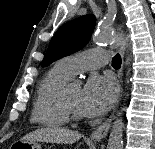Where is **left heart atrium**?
<instances>
[{
	"instance_id": "1",
	"label": "left heart atrium",
	"mask_w": 155,
	"mask_h": 149,
	"mask_svg": "<svg viewBox=\"0 0 155 149\" xmlns=\"http://www.w3.org/2000/svg\"><path fill=\"white\" fill-rule=\"evenodd\" d=\"M117 95V85L111 76H96L89 79L81 93L80 111L93 117L105 114Z\"/></svg>"
}]
</instances>
